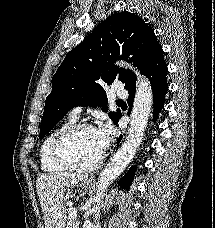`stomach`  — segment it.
Listing matches in <instances>:
<instances>
[{"instance_id": "obj_1", "label": "stomach", "mask_w": 215, "mask_h": 228, "mask_svg": "<svg viewBox=\"0 0 215 228\" xmlns=\"http://www.w3.org/2000/svg\"><path fill=\"white\" fill-rule=\"evenodd\" d=\"M92 180V176H86L85 180H81L80 186H83V188H91V186H93Z\"/></svg>"}]
</instances>
